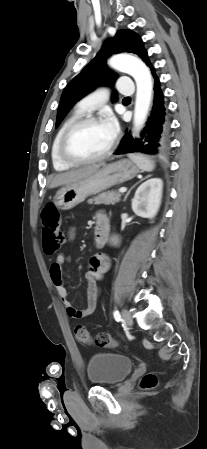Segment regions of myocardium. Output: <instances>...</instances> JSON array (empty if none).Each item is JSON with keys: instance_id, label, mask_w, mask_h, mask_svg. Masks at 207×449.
<instances>
[{"instance_id": "myocardium-1", "label": "myocardium", "mask_w": 207, "mask_h": 449, "mask_svg": "<svg viewBox=\"0 0 207 449\" xmlns=\"http://www.w3.org/2000/svg\"><path fill=\"white\" fill-rule=\"evenodd\" d=\"M99 123H103V120L100 117L84 116V117L77 118L76 120L71 122L66 127V129L64 130V132L61 135L59 145H58L59 156L63 162H65L66 164L72 165V166L96 163V162L106 159L113 152L115 145H116L115 137L112 139L108 148L103 153H101L100 155L95 156V157L79 158V157H76V156L70 154L68 151V148H67L68 139H69L70 135L77 128H79L83 125L99 124Z\"/></svg>"}]
</instances>
